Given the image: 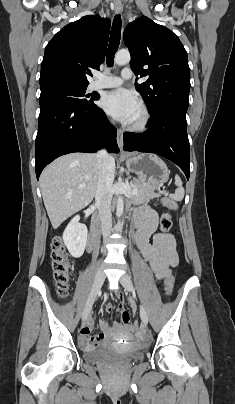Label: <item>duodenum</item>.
<instances>
[{"label": "duodenum", "instance_id": "1", "mask_svg": "<svg viewBox=\"0 0 235 404\" xmlns=\"http://www.w3.org/2000/svg\"><path fill=\"white\" fill-rule=\"evenodd\" d=\"M96 221L93 222V231L87 241V248L89 251H92L96 245Z\"/></svg>", "mask_w": 235, "mask_h": 404}]
</instances>
